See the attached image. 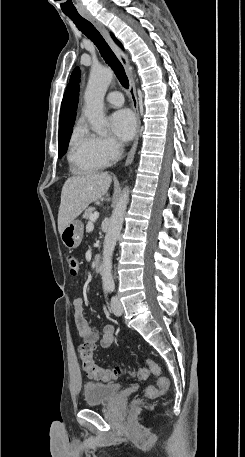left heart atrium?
<instances>
[{
    "label": "left heart atrium",
    "instance_id": "obj_1",
    "mask_svg": "<svg viewBox=\"0 0 245 457\" xmlns=\"http://www.w3.org/2000/svg\"><path fill=\"white\" fill-rule=\"evenodd\" d=\"M111 125L121 141H128L136 130V120L129 110H119L110 118Z\"/></svg>",
    "mask_w": 245,
    "mask_h": 457
}]
</instances>
